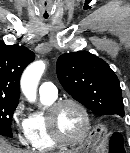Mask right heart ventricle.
Masks as SVG:
<instances>
[{"label":"right heart ventricle","mask_w":130,"mask_h":153,"mask_svg":"<svg viewBox=\"0 0 130 153\" xmlns=\"http://www.w3.org/2000/svg\"><path fill=\"white\" fill-rule=\"evenodd\" d=\"M55 101L56 98L41 95V102L46 108H49ZM28 122L29 144L33 150L37 152H46L56 148L57 143L53 141L47 128L45 112L32 113L28 118Z\"/></svg>","instance_id":"1"}]
</instances>
